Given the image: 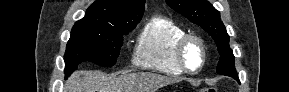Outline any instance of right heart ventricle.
Returning <instances> with one entry per match:
<instances>
[{"label":"right heart ventricle","mask_w":289,"mask_h":92,"mask_svg":"<svg viewBox=\"0 0 289 92\" xmlns=\"http://www.w3.org/2000/svg\"><path fill=\"white\" fill-rule=\"evenodd\" d=\"M185 34V29L172 19L151 18L138 36L134 63L166 75H182L184 71L177 61L176 46Z\"/></svg>","instance_id":"1"}]
</instances>
